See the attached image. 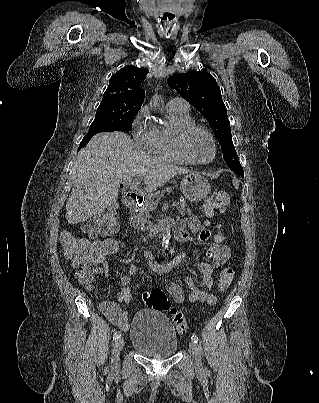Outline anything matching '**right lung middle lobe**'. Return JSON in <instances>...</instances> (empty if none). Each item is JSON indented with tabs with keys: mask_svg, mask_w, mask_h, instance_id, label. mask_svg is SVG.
<instances>
[{
	"mask_svg": "<svg viewBox=\"0 0 319 403\" xmlns=\"http://www.w3.org/2000/svg\"><path fill=\"white\" fill-rule=\"evenodd\" d=\"M139 108L124 104H100L90 131L125 130L132 128L133 118Z\"/></svg>",
	"mask_w": 319,
	"mask_h": 403,
	"instance_id": "1",
	"label": "right lung middle lobe"
}]
</instances>
